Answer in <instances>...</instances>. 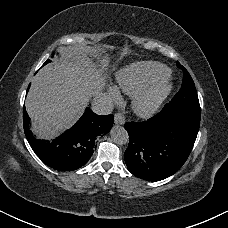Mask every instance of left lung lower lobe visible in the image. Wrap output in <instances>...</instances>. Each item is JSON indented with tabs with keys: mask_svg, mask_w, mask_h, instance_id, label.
I'll list each match as a JSON object with an SVG mask.
<instances>
[{
	"mask_svg": "<svg viewBox=\"0 0 228 228\" xmlns=\"http://www.w3.org/2000/svg\"><path fill=\"white\" fill-rule=\"evenodd\" d=\"M165 108V106H164ZM160 113L143 122H127L129 145L124 153L129 171L148 181L176 173L195 143L200 120Z\"/></svg>",
	"mask_w": 228,
	"mask_h": 228,
	"instance_id": "left-lung-lower-lobe-1",
	"label": "left lung lower lobe"
}]
</instances>
